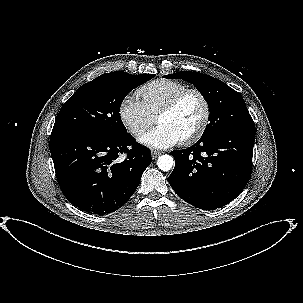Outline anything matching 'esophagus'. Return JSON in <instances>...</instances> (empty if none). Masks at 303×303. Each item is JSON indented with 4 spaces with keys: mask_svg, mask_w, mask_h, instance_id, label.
<instances>
[{
    "mask_svg": "<svg viewBox=\"0 0 303 303\" xmlns=\"http://www.w3.org/2000/svg\"><path fill=\"white\" fill-rule=\"evenodd\" d=\"M160 155H161V152L156 151V150L152 151V159H156Z\"/></svg>",
    "mask_w": 303,
    "mask_h": 303,
    "instance_id": "obj_1",
    "label": "esophagus"
}]
</instances>
